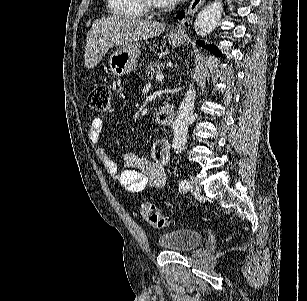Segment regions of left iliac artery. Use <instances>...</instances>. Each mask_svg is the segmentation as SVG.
Wrapping results in <instances>:
<instances>
[{"mask_svg": "<svg viewBox=\"0 0 307 301\" xmlns=\"http://www.w3.org/2000/svg\"><path fill=\"white\" fill-rule=\"evenodd\" d=\"M189 187H190V183H189V181L188 180H186V179H184V180H182L181 182H180V184H179V190L180 191H187L188 189H189Z\"/></svg>", "mask_w": 307, "mask_h": 301, "instance_id": "obj_1", "label": "left iliac artery"}]
</instances>
